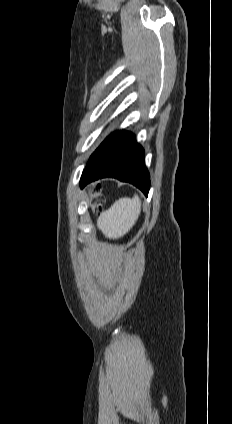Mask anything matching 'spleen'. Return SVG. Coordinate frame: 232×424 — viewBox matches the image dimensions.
Here are the masks:
<instances>
[{
	"mask_svg": "<svg viewBox=\"0 0 232 424\" xmlns=\"http://www.w3.org/2000/svg\"><path fill=\"white\" fill-rule=\"evenodd\" d=\"M141 211V201L138 195L132 199L123 197L106 211L101 213L97 226L109 239H117L125 235L137 221Z\"/></svg>",
	"mask_w": 232,
	"mask_h": 424,
	"instance_id": "obj_1",
	"label": "spleen"
}]
</instances>
